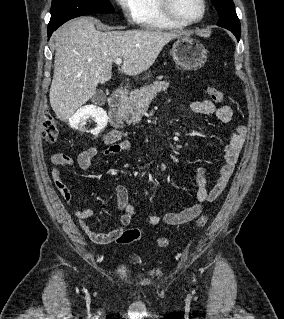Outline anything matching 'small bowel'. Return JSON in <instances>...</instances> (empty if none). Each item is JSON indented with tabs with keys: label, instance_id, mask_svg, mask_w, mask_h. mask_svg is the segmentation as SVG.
Instances as JSON below:
<instances>
[{
	"label": "small bowel",
	"instance_id": "obj_1",
	"mask_svg": "<svg viewBox=\"0 0 284 319\" xmlns=\"http://www.w3.org/2000/svg\"><path fill=\"white\" fill-rule=\"evenodd\" d=\"M189 108L192 112L197 114L214 115L223 123H229L233 116V111L229 106L217 107L209 100L194 101L190 104ZM245 132L246 130L244 127H237L231 133L228 142L224 146L223 163L220 166L217 178L211 187L208 186L206 171L204 169H198L196 175L198 183L196 201L180 212L167 213L163 217L149 215L146 218L148 224L158 225L163 221L167 225H180L190 222L199 216L204 203L215 201L225 189L234 172L235 165L244 145ZM103 141L107 145V148L104 151L105 156L126 152L132 148L130 141L125 138V133L118 129L108 131L103 136ZM96 154L97 147L95 145L91 144L85 147L76 158L79 168L84 172H88L91 167L92 158ZM51 162L53 165L51 175L54 184L61 193L63 199L67 203H71L73 200L72 193L63 180L61 168L72 166L74 160L68 154L56 153L52 156ZM116 198L117 207L122 211L120 216V227L106 233L97 232L87 224L86 220L92 215V210L90 208L79 205L73 206L75 216L79 220L82 229L90 240L95 243L108 244L117 241L118 237L124 232V227L131 222L134 216L135 208L129 202V195L126 187L118 186L116 188Z\"/></svg>",
	"mask_w": 284,
	"mask_h": 319
}]
</instances>
